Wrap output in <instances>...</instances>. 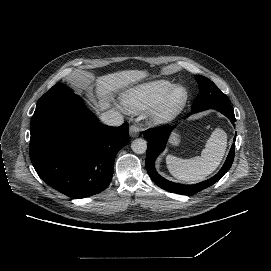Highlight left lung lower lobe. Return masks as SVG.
Wrapping results in <instances>:
<instances>
[{"label": "left lung lower lobe", "instance_id": "obj_1", "mask_svg": "<svg viewBox=\"0 0 271 271\" xmlns=\"http://www.w3.org/2000/svg\"><path fill=\"white\" fill-rule=\"evenodd\" d=\"M203 110H207V109L191 110V114L197 113ZM217 111L221 112L226 117H228L229 120L232 122V124H234V122L236 121L234 117V111H229V110H217ZM173 129H174V126H166V127L149 129L144 132V137L148 141L147 155H146V161H145L146 169L149 176L155 182L156 185H158L162 189L169 192L183 194V195H193L216 183L230 169L233 163L234 154H235L234 144L232 145L230 149V152L228 154V157L223 167L215 176H213L212 178L208 180H205L203 182L193 184V185H183V184L170 182L164 179L163 177H161L157 173L154 167V162L157 156L159 155V153L164 150L168 137ZM234 141H235V138H234Z\"/></svg>", "mask_w": 271, "mask_h": 271}]
</instances>
